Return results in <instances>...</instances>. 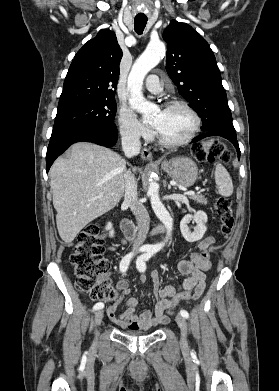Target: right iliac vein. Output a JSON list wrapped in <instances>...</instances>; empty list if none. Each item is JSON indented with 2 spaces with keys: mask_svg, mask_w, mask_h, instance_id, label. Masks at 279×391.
I'll return each mask as SVG.
<instances>
[{
  "mask_svg": "<svg viewBox=\"0 0 279 391\" xmlns=\"http://www.w3.org/2000/svg\"><path fill=\"white\" fill-rule=\"evenodd\" d=\"M103 315H104V312L102 310H98L96 313H95V316H94V325H95V335L97 337L98 335V326L101 324L102 322V319H103Z\"/></svg>",
  "mask_w": 279,
  "mask_h": 391,
  "instance_id": "right-iliac-vein-1",
  "label": "right iliac vein"
}]
</instances>
